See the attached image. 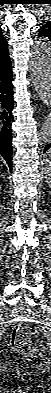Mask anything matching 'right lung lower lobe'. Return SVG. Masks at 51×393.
Returning <instances> with one entry per match:
<instances>
[{"label":"right lung lower lobe","instance_id":"98d812e1","mask_svg":"<svg viewBox=\"0 0 51 393\" xmlns=\"http://www.w3.org/2000/svg\"><path fill=\"white\" fill-rule=\"evenodd\" d=\"M14 108L12 89V68L0 76V155L12 170V110Z\"/></svg>","mask_w":51,"mask_h":393}]
</instances>
